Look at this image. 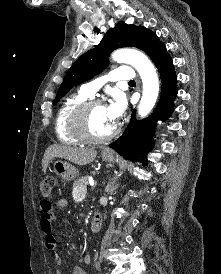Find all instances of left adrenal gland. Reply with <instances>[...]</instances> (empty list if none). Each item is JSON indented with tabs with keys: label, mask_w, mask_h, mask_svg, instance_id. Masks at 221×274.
Here are the masks:
<instances>
[{
	"label": "left adrenal gland",
	"mask_w": 221,
	"mask_h": 274,
	"mask_svg": "<svg viewBox=\"0 0 221 274\" xmlns=\"http://www.w3.org/2000/svg\"><path fill=\"white\" fill-rule=\"evenodd\" d=\"M116 180H117V178L107 185L106 191L108 192V194H112L119 187L118 184H115Z\"/></svg>",
	"instance_id": "obj_1"
}]
</instances>
